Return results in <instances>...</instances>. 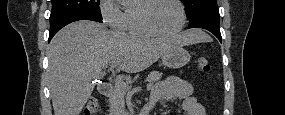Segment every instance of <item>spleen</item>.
<instances>
[{"label":"spleen","mask_w":285,"mask_h":115,"mask_svg":"<svg viewBox=\"0 0 285 115\" xmlns=\"http://www.w3.org/2000/svg\"><path fill=\"white\" fill-rule=\"evenodd\" d=\"M200 39L201 40H207L208 36L205 33L202 32Z\"/></svg>","instance_id":"3e777b00"}]
</instances>
